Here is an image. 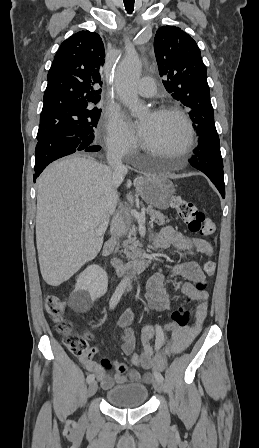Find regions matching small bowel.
Returning a JSON list of instances; mask_svg holds the SVG:
<instances>
[{
	"label": "small bowel",
	"instance_id": "1",
	"mask_svg": "<svg viewBox=\"0 0 259 448\" xmlns=\"http://www.w3.org/2000/svg\"><path fill=\"white\" fill-rule=\"evenodd\" d=\"M153 243L156 247L162 249L176 248L182 250L189 257L197 253L205 257L212 255V246L208 241L184 235L170 226L164 227L157 234ZM167 275L183 278V281L178 286L179 291L198 302L194 312V323L182 328H172L167 323L165 329L170 333V340L166 344L164 353L158 356L154 354L151 343L154 336L153 328L151 326L143 327L141 331L143 351L140 365L145 370L150 371L144 374L136 370H129L124 363L113 360L110 357H103L100 361H95L93 358L98 352V348H91L86 356L80 357V362L87 372L96 376L103 389L107 390L115 383L125 384L139 381L151 383L153 374L163 370L167 356L184 351L201 332L208 314L209 298L207 291L204 289L199 290L194 285V283L206 279L201 266L196 261L187 260L171 266L165 272H157L151 276L147 282L144 294V301L149 308L158 311H167L169 309L168 292L164 285ZM133 316L132 311H127L118 320V327L122 330L121 349L127 356L132 354L136 344L134 332L130 328ZM87 337L92 338L90 334H87Z\"/></svg>",
	"mask_w": 259,
	"mask_h": 448
}]
</instances>
